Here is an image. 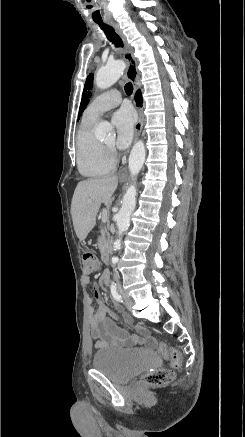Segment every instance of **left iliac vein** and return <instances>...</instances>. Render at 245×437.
I'll return each instance as SVG.
<instances>
[{
	"label": "left iliac vein",
	"instance_id": "obj_1",
	"mask_svg": "<svg viewBox=\"0 0 245 437\" xmlns=\"http://www.w3.org/2000/svg\"><path fill=\"white\" fill-rule=\"evenodd\" d=\"M121 292V294H122V296H123V298H124V300H125V306H126V308L129 310V311H131L132 310V306H133V300L131 299V297L127 294V293H125L124 291H120Z\"/></svg>",
	"mask_w": 245,
	"mask_h": 437
}]
</instances>
